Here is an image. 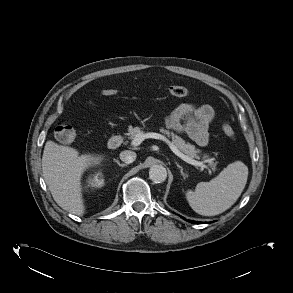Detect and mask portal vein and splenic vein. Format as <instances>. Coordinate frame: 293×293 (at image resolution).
Listing matches in <instances>:
<instances>
[{
    "instance_id": "portal-vein-and-splenic-vein-1",
    "label": "portal vein and splenic vein",
    "mask_w": 293,
    "mask_h": 293,
    "mask_svg": "<svg viewBox=\"0 0 293 293\" xmlns=\"http://www.w3.org/2000/svg\"><path fill=\"white\" fill-rule=\"evenodd\" d=\"M148 138L161 139V140L165 141L169 145V147L173 151V153L175 155H177L179 158H181L182 160H184L185 162H187L191 165L205 168L211 174V169L208 165L204 164V162H202V161L194 160V159L188 157L187 155L183 154L172 142H170L166 137H164L163 135H161L159 133H154V132L141 133V132H139L136 135V137L132 140L131 145L138 146L141 144L142 141H144L145 139H148Z\"/></svg>"
}]
</instances>
